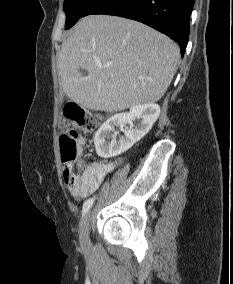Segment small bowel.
<instances>
[{"mask_svg":"<svg viewBox=\"0 0 233 284\" xmlns=\"http://www.w3.org/2000/svg\"><path fill=\"white\" fill-rule=\"evenodd\" d=\"M114 168L115 163L109 161L94 162L86 166L84 171L91 175L94 180L93 191L99 187V185L104 181L107 175L114 170Z\"/></svg>","mask_w":233,"mask_h":284,"instance_id":"small-bowel-1","label":"small bowel"}]
</instances>
